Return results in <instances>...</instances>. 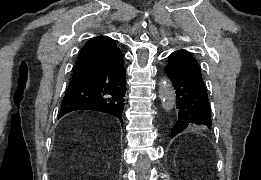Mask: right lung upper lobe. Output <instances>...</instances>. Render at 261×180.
<instances>
[{
  "instance_id": "1",
  "label": "right lung upper lobe",
  "mask_w": 261,
  "mask_h": 180,
  "mask_svg": "<svg viewBox=\"0 0 261 180\" xmlns=\"http://www.w3.org/2000/svg\"><path fill=\"white\" fill-rule=\"evenodd\" d=\"M123 57L124 55L113 39L104 36L94 37L81 49L73 71L72 81L94 68L119 64L123 61Z\"/></svg>"
}]
</instances>
